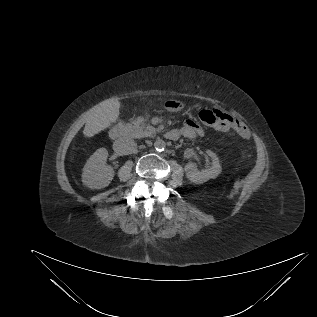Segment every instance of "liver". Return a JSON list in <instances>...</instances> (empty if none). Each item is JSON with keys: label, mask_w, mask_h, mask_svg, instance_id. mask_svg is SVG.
I'll return each mask as SVG.
<instances>
[{"label": "liver", "mask_w": 317, "mask_h": 317, "mask_svg": "<svg viewBox=\"0 0 317 317\" xmlns=\"http://www.w3.org/2000/svg\"><path fill=\"white\" fill-rule=\"evenodd\" d=\"M120 103L116 98H110L92 107L86 114V124L83 134L92 137L108 128L120 114Z\"/></svg>", "instance_id": "1"}]
</instances>
